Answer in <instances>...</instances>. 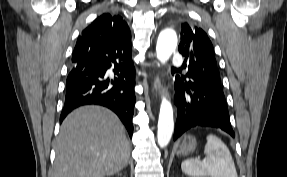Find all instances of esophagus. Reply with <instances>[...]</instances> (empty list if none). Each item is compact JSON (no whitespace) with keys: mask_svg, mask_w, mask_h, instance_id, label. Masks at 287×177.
<instances>
[{"mask_svg":"<svg viewBox=\"0 0 287 177\" xmlns=\"http://www.w3.org/2000/svg\"><path fill=\"white\" fill-rule=\"evenodd\" d=\"M152 90L155 91L158 95L161 94V82L158 74H156L153 79Z\"/></svg>","mask_w":287,"mask_h":177,"instance_id":"1","label":"esophagus"}]
</instances>
